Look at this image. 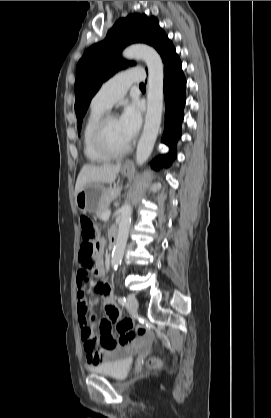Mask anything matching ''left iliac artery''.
Segmentation results:
<instances>
[{
	"label": "left iliac artery",
	"instance_id": "obj_1",
	"mask_svg": "<svg viewBox=\"0 0 271 418\" xmlns=\"http://www.w3.org/2000/svg\"><path fill=\"white\" fill-rule=\"evenodd\" d=\"M118 303L121 305H125L126 304V298L125 297H118Z\"/></svg>",
	"mask_w": 271,
	"mask_h": 418
}]
</instances>
